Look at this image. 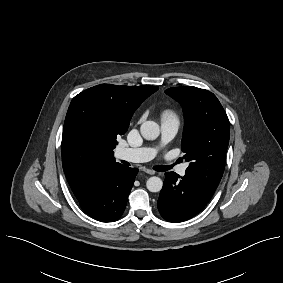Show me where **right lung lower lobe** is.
Instances as JSON below:
<instances>
[{"label": "right lung lower lobe", "instance_id": "98d812e1", "mask_svg": "<svg viewBox=\"0 0 283 283\" xmlns=\"http://www.w3.org/2000/svg\"><path fill=\"white\" fill-rule=\"evenodd\" d=\"M138 169L112 162L99 166L76 198L92 218L112 222L124 212Z\"/></svg>", "mask_w": 283, "mask_h": 283}]
</instances>
